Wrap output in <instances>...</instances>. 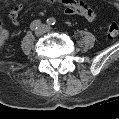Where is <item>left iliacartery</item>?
Segmentation results:
<instances>
[{"label":"left iliac artery","mask_w":119,"mask_h":119,"mask_svg":"<svg viewBox=\"0 0 119 119\" xmlns=\"http://www.w3.org/2000/svg\"><path fill=\"white\" fill-rule=\"evenodd\" d=\"M46 22L48 25H54L56 23V20L54 18H49V19H47Z\"/></svg>","instance_id":"1"}]
</instances>
